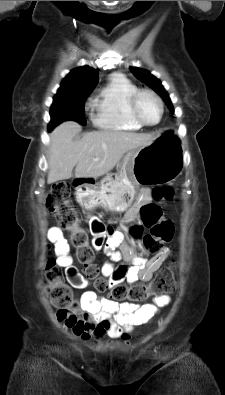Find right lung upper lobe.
I'll list each match as a JSON object with an SVG mask.
<instances>
[{"mask_svg":"<svg viewBox=\"0 0 225 395\" xmlns=\"http://www.w3.org/2000/svg\"><path fill=\"white\" fill-rule=\"evenodd\" d=\"M98 82V71L89 66L72 70L62 81L59 91H92Z\"/></svg>","mask_w":225,"mask_h":395,"instance_id":"1","label":"right lung upper lobe"}]
</instances>
